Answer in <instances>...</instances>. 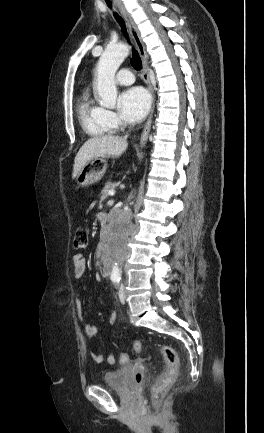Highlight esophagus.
<instances>
[{
  "label": "esophagus",
  "mask_w": 264,
  "mask_h": 433,
  "mask_svg": "<svg viewBox=\"0 0 264 433\" xmlns=\"http://www.w3.org/2000/svg\"><path fill=\"white\" fill-rule=\"evenodd\" d=\"M116 5L120 11V13L122 14V16L124 17L127 26L129 28V32L137 46L138 52L140 54L141 60H142V77L143 80L145 81V83L148 86V89L150 91L151 94V102H152V106H151V111L149 114V117L145 123L144 129L142 131L141 137H140V142L139 144L142 146L144 145L147 140H148V135L151 129V123H152V117H153V112H154V106H155V95H154V91L152 88V84L149 78V73H148V54L146 52V48L144 45V42L142 41V38L140 36V32L136 26V24L134 23L131 15L128 13V11L125 9V7L120 3V2H116Z\"/></svg>",
  "instance_id": "obj_1"
}]
</instances>
